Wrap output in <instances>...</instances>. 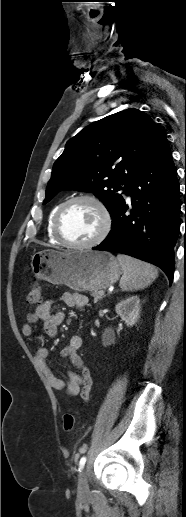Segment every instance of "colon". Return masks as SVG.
<instances>
[{"label": "colon", "mask_w": 186, "mask_h": 517, "mask_svg": "<svg viewBox=\"0 0 186 517\" xmlns=\"http://www.w3.org/2000/svg\"><path fill=\"white\" fill-rule=\"evenodd\" d=\"M42 301V293L39 286L34 285L28 292L26 303L29 307L40 304ZM76 418L72 412H67L63 416V429L66 432L73 430L75 426Z\"/></svg>", "instance_id": "colon-1"}]
</instances>
